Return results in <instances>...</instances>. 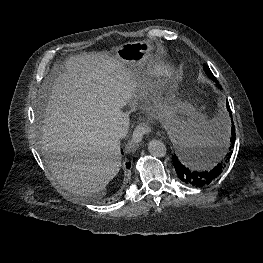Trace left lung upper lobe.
I'll return each mask as SVG.
<instances>
[{
    "mask_svg": "<svg viewBox=\"0 0 263 263\" xmlns=\"http://www.w3.org/2000/svg\"><path fill=\"white\" fill-rule=\"evenodd\" d=\"M203 68H204V71L206 72V74L209 76V78H211L214 82H216V85H217L218 87H221L220 85H218V81H217V79L213 76V74H212V72L210 71L209 67L204 64Z\"/></svg>",
    "mask_w": 263,
    "mask_h": 263,
    "instance_id": "1",
    "label": "left lung upper lobe"
}]
</instances>
